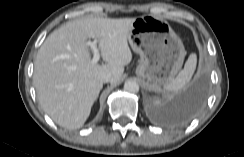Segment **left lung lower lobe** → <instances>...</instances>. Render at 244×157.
Returning <instances> with one entry per match:
<instances>
[{"instance_id": "1", "label": "left lung lower lobe", "mask_w": 244, "mask_h": 157, "mask_svg": "<svg viewBox=\"0 0 244 157\" xmlns=\"http://www.w3.org/2000/svg\"><path fill=\"white\" fill-rule=\"evenodd\" d=\"M206 92L204 80H199L189 87L178 98L175 110L169 117L171 121H188L191 119L203 104Z\"/></svg>"}]
</instances>
